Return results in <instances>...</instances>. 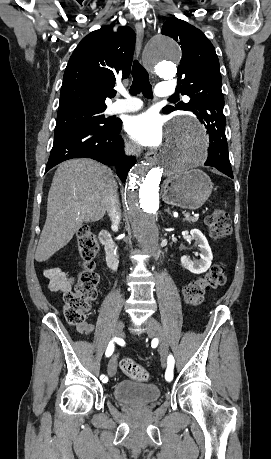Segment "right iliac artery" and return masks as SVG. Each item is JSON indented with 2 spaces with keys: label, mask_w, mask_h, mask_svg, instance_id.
I'll return each instance as SVG.
<instances>
[{
  "label": "right iliac artery",
  "mask_w": 271,
  "mask_h": 459,
  "mask_svg": "<svg viewBox=\"0 0 271 459\" xmlns=\"http://www.w3.org/2000/svg\"><path fill=\"white\" fill-rule=\"evenodd\" d=\"M113 341H116V338H114V340H112V341L109 342V345H108L107 350H106V353H105V355H106L107 357L111 356L112 353H113V351H114V343H113ZM100 379H103V380L106 381V380H107V374H106V373H103V374L100 376Z\"/></svg>",
  "instance_id": "1"
}]
</instances>
